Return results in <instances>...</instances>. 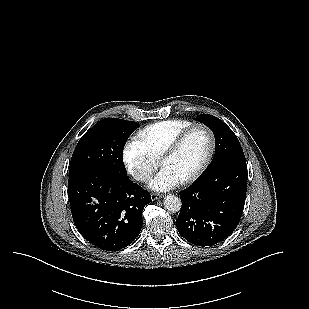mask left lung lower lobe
Listing matches in <instances>:
<instances>
[{
    "label": "left lung lower lobe",
    "mask_w": 309,
    "mask_h": 309,
    "mask_svg": "<svg viewBox=\"0 0 309 309\" xmlns=\"http://www.w3.org/2000/svg\"><path fill=\"white\" fill-rule=\"evenodd\" d=\"M247 190L245 156L225 159L180 192L182 208L176 220L180 235L202 247L215 245L239 224Z\"/></svg>",
    "instance_id": "left-lung-lower-lobe-1"
}]
</instances>
